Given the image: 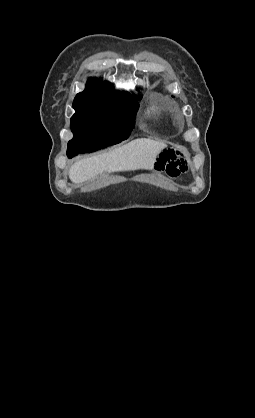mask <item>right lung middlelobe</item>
Here are the masks:
<instances>
[{"mask_svg":"<svg viewBox=\"0 0 255 418\" xmlns=\"http://www.w3.org/2000/svg\"><path fill=\"white\" fill-rule=\"evenodd\" d=\"M129 93H87L76 95L75 114L71 118L74 138L68 143V152H93L120 143L128 138L134 127L139 107Z\"/></svg>","mask_w":255,"mask_h":418,"instance_id":"dd1d6c3e","label":"right lung middle lobe"}]
</instances>
